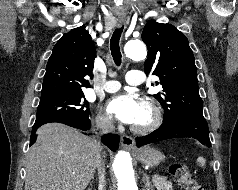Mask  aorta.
I'll return each instance as SVG.
<instances>
[{"label": "aorta", "instance_id": "aorta-1", "mask_svg": "<svg viewBox=\"0 0 238 190\" xmlns=\"http://www.w3.org/2000/svg\"><path fill=\"white\" fill-rule=\"evenodd\" d=\"M125 54L133 60H142L146 57V46L141 40H130L126 43ZM118 181V190H138L132 169L131 157L128 152L119 151L113 164Z\"/></svg>", "mask_w": 238, "mask_h": 190}]
</instances>
